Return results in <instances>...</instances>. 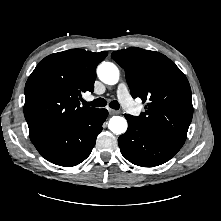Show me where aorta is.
<instances>
[{
  "instance_id": "aorta-1",
  "label": "aorta",
  "mask_w": 221,
  "mask_h": 221,
  "mask_svg": "<svg viewBox=\"0 0 221 221\" xmlns=\"http://www.w3.org/2000/svg\"><path fill=\"white\" fill-rule=\"evenodd\" d=\"M99 79L108 85H115L119 81V70L110 62H103L97 68ZM108 128L114 134H122L127 130V121L124 117L113 116L109 120Z\"/></svg>"
}]
</instances>
